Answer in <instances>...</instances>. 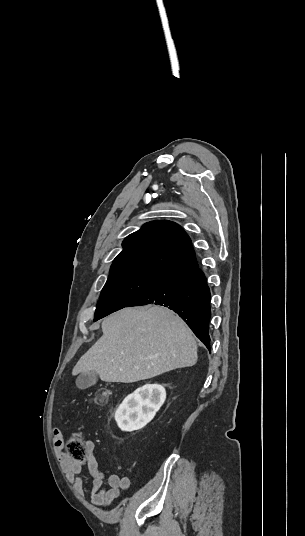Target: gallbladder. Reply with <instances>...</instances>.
I'll return each instance as SVG.
<instances>
[{
    "label": "gallbladder",
    "mask_w": 305,
    "mask_h": 536,
    "mask_svg": "<svg viewBox=\"0 0 305 536\" xmlns=\"http://www.w3.org/2000/svg\"><path fill=\"white\" fill-rule=\"evenodd\" d=\"M97 380L98 374H96V372H86V374H80V376L76 378L75 384L80 390H85V388H89V386H94Z\"/></svg>",
    "instance_id": "obj_1"
}]
</instances>
